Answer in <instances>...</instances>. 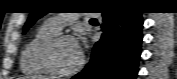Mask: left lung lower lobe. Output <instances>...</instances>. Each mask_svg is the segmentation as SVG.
Instances as JSON below:
<instances>
[{
    "instance_id": "left-lung-lower-lobe-1",
    "label": "left lung lower lobe",
    "mask_w": 177,
    "mask_h": 79,
    "mask_svg": "<svg viewBox=\"0 0 177 79\" xmlns=\"http://www.w3.org/2000/svg\"><path fill=\"white\" fill-rule=\"evenodd\" d=\"M102 37L72 79H135L142 42L141 12H103Z\"/></svg>"
}]
</instances>
